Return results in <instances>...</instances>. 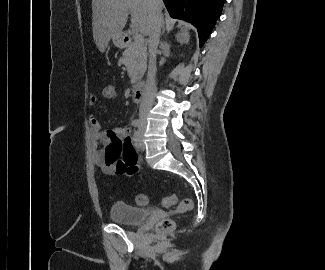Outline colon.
I'll return each mask as SVG.
<instances>
[{"mask_svg": "<svg viewBox=\"0 0 325 270\" xmlns=\"http://www.w3.org/2000/svg\"><path fill=\"white\" fill-rule=\"evenodd\" d=\"M102 98L106 101H114L117 97L116 89L113 85H106L102 89ZM136 201L140 205H145L148 203V197L145 194H138ZM163 206L166 209L172 210L179 214L188 213L193 209V201L189 198L178 200L176 195H170L163 199ZM175 226V222L166 218L163 219L157 226L158 231H169Z\"/></svg>", "mask_w": 325, "mask_h": 270, "instance_id": "colon-1", "label": "colon"}]
</instances>
